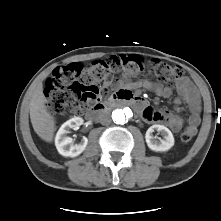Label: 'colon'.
<instances>
[{"mask_svg": "<svg viewBox=\"0 0 221 221\" xmlns=\"http://www.w3.org/2000/svg\"><path fill=\"white\" fill-rule=\"evenodd\" d=\"M147 69L166 88H172L184 76L175 64L160 60L145 63L135 55L112 56L95 60L89 65L70 63L56 68L45 83L46 109L51 114L66 115L90 106L99 97L98 84L105 82L113 71L122 70L133 77ZM193 134L185 131L181 140L188 142Z\"/></svg>", "mask_w": 221, "mask_h": 221, "instance_id": "colon-1", "label": "colon"}]
</instances>
